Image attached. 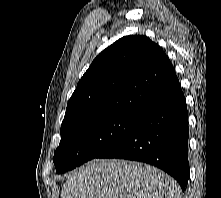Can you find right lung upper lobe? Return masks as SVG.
<instances>
[{"mask_svg":"<svg viewBox=\"0 0 221 198\" xmlns=\"http://www.w3.org/2000/svg\"><path fill=\"white\" fill-rule=\"evenodd\" d=\"M180 87L164 51L143 35L124 36L91 63L72 94L61 135L115 114L141 117Z\"/></svg>","mask_w":221,"mask_h":198,"instance_id":"right-lung-upper-lobe-1","label":"right lung upper lobe"}]
</instances>
